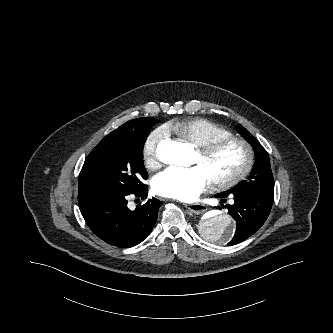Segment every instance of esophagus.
Segmentation results:
<instances>
[{"mask_svg": "<svg viewBox=\"0 0 333 333\" xmlns=\"http://www.w3.org/2000/svg\"><path fill=\"white\" fill-rule=\"evenodd\" d=\"M184 206L192 213L194 214H203L207 208L205 205L200 203H193V204H184Z\"/></svg>", "mask_w": 333, "mask_h": 333, "instance_id": "1", "label": "esophagus"}]
</instances>
